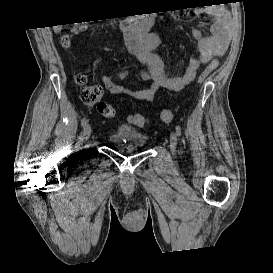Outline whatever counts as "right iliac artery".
<instances>
[{"instance_id":"obj_1","label":"right iliac artery","mask_w":273,"mask_h":273,"mask_svg":"<svg viewBox=\"0 0 273 273\" xmlns=\"http://www.w3.org/2000/svg\"><path fill=\"white\" fill-rule=\"evenodd\" d=\"M87 122H88V119H87L86 117H84V118L82 119V121H81L82 127H85V125L87 124Z\"/></svg>"}]
</instances>
